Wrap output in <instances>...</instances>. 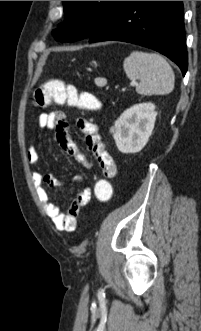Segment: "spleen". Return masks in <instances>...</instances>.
<instances>
[{"label":"spleen","instance_id":"obj_1","mask_svg":"<svg viewBox=\"0 0 201 331\" xmlns=\"http://www.w3.org/2000/svg\"><path fill=\"white\" fill-rule=\"evenodd\" d=\"M123 67L129 79L140 80L136 86L139 94L166 95L174 88V72L160 54L134 50L125 58Z\"/></svg>","mask_w":201,"mask_h":331}]
</instances>
